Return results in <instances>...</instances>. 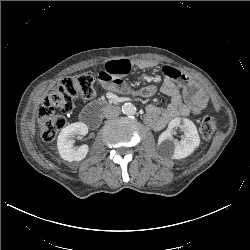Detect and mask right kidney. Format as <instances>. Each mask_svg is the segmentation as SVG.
I'll return each mask as SVG.
<instances>
[{"instance_id":"1","label":"right kidney","mask_w":250,"mask_h":250,"mask_svg":"<svg viewBox=\"0 0 250 250\" xmlns=\"http://www.w3.org/2000/svg\"><path fill=\"white\" fill-rule=\"evenodd\" d=\"M88 127L82 122L72 123L61 130L57 139V147L61 158L65 161H81L88 153V146L82 145L79 148L73 147L75 135L85 136Z\"/></svg>"}]
</instances>
